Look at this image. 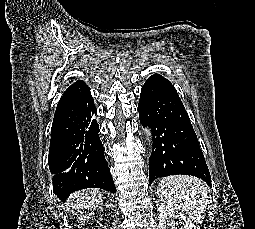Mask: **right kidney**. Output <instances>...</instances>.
<instances>
[{
	"mask_svg": "<svg viewBox=\"0 0 255 229\" xmlns=\"http://www.w3.org/2000/svg\"><path fill=\"white\" fill-rule=\"evenodd\" d=\"M102 220V216L100 217V221ZM100 226H101V224L99 223V222H97Z\"/></svg>",
	"mask_w": 255,
	"mask_h": 229,
	"instance_id": "ca27d5eb",
	"label": "right kidney"
}]
</instances>
